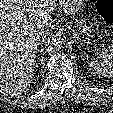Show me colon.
Returning a JSON list of instances; mask_svg holds the SVG:
<instances>
[{"mask_svg":"<svg viewBox=\"0 0 113 113\" xmlns=\"http://www.w3.org/2000/svg\"><path fill=\"white\" fill-rule=\"evenodd\" d=\"M96 10L102 19L113 23V0H98Z\"/></svg>","mask_w":113,"mask_h":113,"instance_id":"colon-1","label":"colon"}]
</instances>
